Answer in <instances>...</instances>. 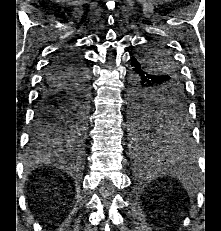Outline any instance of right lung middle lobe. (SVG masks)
Here are the masks:
<instances>
[{
	"instance_id": "obj_1",
	"label": "right lung middle lobe",
	"mask_w": 221,
	"mask_h": 231,
	"mask_svg": "<svg viewBox=\"0 0 221 231\" xmlns=\"http://www.w3.org/2000/svg\"><path fill=\"white\" fill-rule=\"evenodd\" d=\"M89 100L82 95L66 99L61 105H53L47 111L50 116L47 129L38 137L53 141L61 132L67 139L80 145L84 140Z\"/></svg>"
}]
</instances>
